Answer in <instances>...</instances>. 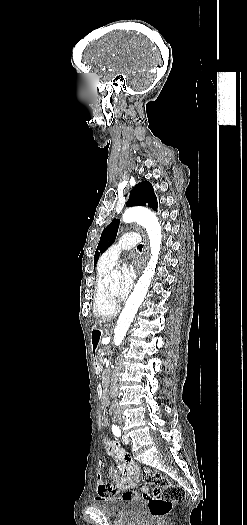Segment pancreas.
<instances>
[{"label": "pancreas", "instance_id": "cf45deb5", "mask_svg": "<svg viewBox=\"0 0 247 525\" xmlns=\"http://www.w3.org/2000/svg\"><path fill=\"white\" fill-rule=\"evenodd\" d=\"M101 353H104V349L99 348V349L97 350V352H96V356H95V359H96L97 361H101V360H103V356H101Z\"/></svg>", "mask_w": 247, "mask_h": 525}]
</instances>
